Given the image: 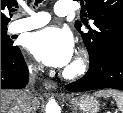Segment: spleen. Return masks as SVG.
Segmentation results:
<instances>
[{"mask_svg": "<svg viewBox=\"0 0 123 113\" xmlns=\"http://www.w3.org/2000/svg\"><path fill=\"white\" fill-rule=\"evenodd\" d=\"M97 97H110L112 96L117 104L118 109L123 113V92L117 90H101L95 93Z\"/></svg>", "mask_w": 123, "mask_h": 113, "instance_id": "1", "label": "spleen"}]
</instances>
